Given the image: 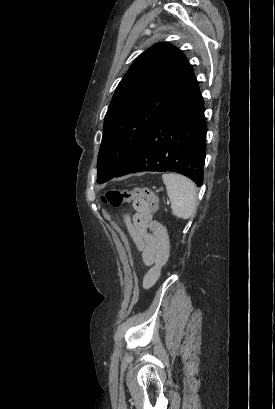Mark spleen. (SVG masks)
Instances as JSON below:
<instances>
[{"instance_id":"1","label":"spleen","mask_w":275,"mask_h":409,"mask_svg":"<svg viewBox=\"0 0 275 409\" xmlns=\"http://www.w3.org/2000/svg\"><path fill=\"white\" fill-rule=\"evenodd\" d=\"M167 194L171 200L172 215L179 219H190L197 207L195 182L182 174H162Z\"/></svg>"}]
</instances>
